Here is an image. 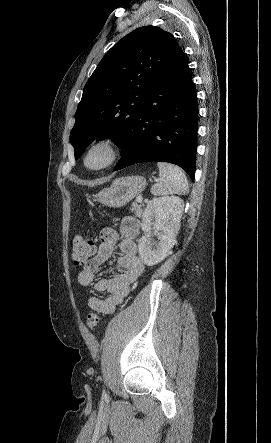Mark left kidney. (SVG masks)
Wrapping results in <instances>:
<instances>
[{"mask_svg":"<svg viewBox=\"0 0 271 443\" xmlns=\"http://www.w3.org/2000/svg\"><path fill=\"white\" fill-rule=\"evenodd\" d=\"M184 202L175 196L154 198L145 208L142 216V229L145 235L140 237L138 251L141 261L146 265H156L171 253L176 243V233L180 227ZM155 225L158 243H151L150 231Z\"/></svg>","mask_w":271,"mask_h":443,"instance_id":"5707ae66","label":"left kidney"}]
</instances>
